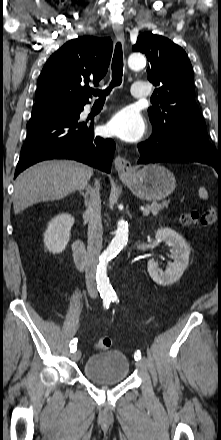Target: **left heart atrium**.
I'll return each instance as SVG.
<instances>
[{"mask_svg":"<svg viewBox=\"0 0 221 440\" xmlns=\"http://www.w3.org/2000/svg\"><path fill=\"white\" fill-rule=\"evenodd\" d=\"M107 130L111 135L132 142L142 137L145 130V123L137 111L127 107L112 117L107 125Z\"/></svg>","mask_w":221,"mask_h":440,"instance_id":"obj_1","label":"left heart atrium"}]
</instances>
